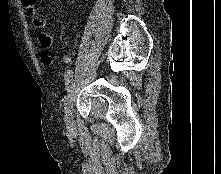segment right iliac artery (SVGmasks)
Returning <instances> with one entry per match:
<instances>
[{"instance_id": "right-iliac-artery-1", "label": "right iliac artery", "mask_w": 221, "mask_h": 174, "mask_svg": "<svg viewBox=\"0 0 221 174\" xmlns=\"http://www.w3.org/2000/svg\"><path fill=\"white\" fill-rule=\"evenodd\" d=\"M73 78V72L72 70H67L64 74L65 84L66 88L68 87V84L70 83L71 79Z\"/></svg>"}]
</instances>
